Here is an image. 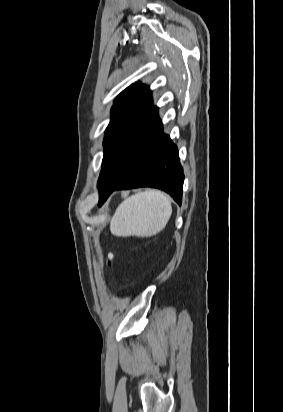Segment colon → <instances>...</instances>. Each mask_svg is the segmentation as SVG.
<instances>
[{
    "mask_svg": "<svg viewBox=\"0 0 283 412\" xmlns=\"http://www.w3.org/2000/svg\"><path fill=\"white\" fill-rule=\"evenodd\" d=\"M106 263H107L108 266L111 265V263H112V255L111 254H108V256L106 258Z\"/></svg>",
    "mask_w": 283,
    "mask_h": 412,
    "instance_id": "obj_1",
    "label": "colon"
}]
</instances>
